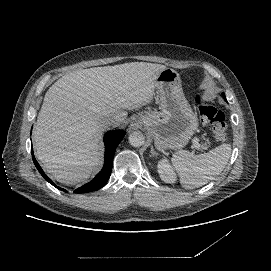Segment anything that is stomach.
I'll list each match as a JSON object with an SVG mask.
<instances>
[{"label": "stomach", "instance_id": "0dacf381", "mask_svg": "<svg viewBox=\"0 0 271 271\" xmlns=\"http://www.w3.org/2000/svg\"><path fill=\"white\" fill-rule=\"evenodd\" d=\"M162 112L144 111L137 118L154 138L157 150L184 147L198 128L197 115L186 100L180 75L171 68L162 70L154 80Z\"/></svg>", "mask_w": 271, "mask_h": 271}]
</instances>
